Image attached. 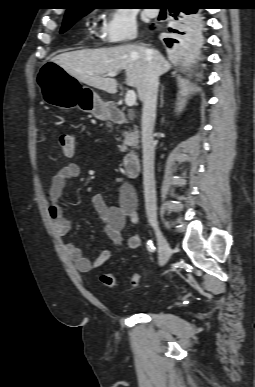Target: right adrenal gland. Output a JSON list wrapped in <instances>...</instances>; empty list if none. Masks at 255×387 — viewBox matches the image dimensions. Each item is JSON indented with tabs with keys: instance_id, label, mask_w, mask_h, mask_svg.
Listing matches in <instances>:
<instances>
[{
	"instance_id": "obj_1",
	"label": "right adrenal gland",
	"mask_w": 255,
	"mask_h": 387,
	"mask_svg": "<svg viewBox=\"0 0 255 387\" xmlns=\"http://www.w3.org/2000/svg\"><path fill=\"white\" fill-rule=\"evenodd\" d=\"M163 91H164V87L162 86V87H161V91H160L161 106L163 105V102H164V99H163Z\"/></svg>"
}]
</instances>
